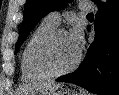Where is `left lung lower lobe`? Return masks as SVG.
<instances>
[{
    "instance_id": "left-lung-lower-lobe-1",
    "label": "left lung lower lobe",
    "mask_w": 119,
    "mask_h": 95,
    "mask_svg": "<svg viewBox=\"0 0 119 95\" xmlns=\"http://www.w3.org/2000/svg\"><path fill=\"white\" fill-rule=\"evenodd\" d=\"M95 39L73 73L56 79L99 95H119V0L98 3Z\"/></svg>"
}]
</instances>
